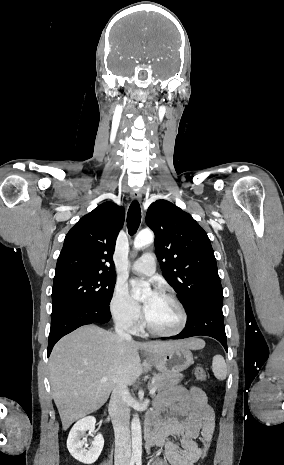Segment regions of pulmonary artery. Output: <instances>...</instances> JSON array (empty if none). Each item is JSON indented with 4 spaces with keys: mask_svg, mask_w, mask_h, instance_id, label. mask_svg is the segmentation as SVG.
Segmentation results:
<instances>
[{
    "mask_svg": "<svg viewBox=\"0 0 284 465\" xmlns=\"http://www.w3.org/2000/svg\"><path fill=\"white\" fill-rule=\"evenodd\" d=\"M156 255L144 253L131 265V269L138 275H149L155 271Z\"/></svg>",
    "mask_w": 284,
    "mask_h": 465,
    "instance_id": "e3ab8cb5",
    "label": "pulmonary artery"
}]
</instances>
